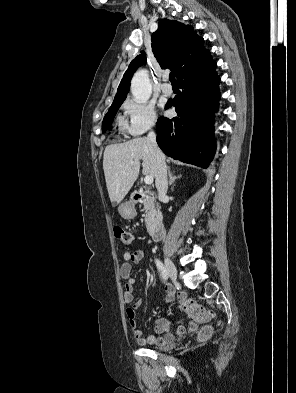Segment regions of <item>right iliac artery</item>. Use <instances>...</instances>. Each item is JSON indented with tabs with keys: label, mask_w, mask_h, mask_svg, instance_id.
<instances>
[{
	"label": "right iliac artery",
	"mask_w": 296,
	"mask_h": 393,
	"mask_svg": "<svg viewBox=\"0 0 296 393\" xmlns=\"http://www.w3.org/2000/svg\"><path fill=\"white\" fill-rule=\"evenodd\" d=\"M155 263L161 273L162 279L166 281L168 279L167 269L165 268V266L163 265V263L160 260L156 259Z\"/></svg>",
	"instance_id": "82829eb1"
}]
</instances>
